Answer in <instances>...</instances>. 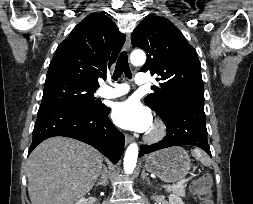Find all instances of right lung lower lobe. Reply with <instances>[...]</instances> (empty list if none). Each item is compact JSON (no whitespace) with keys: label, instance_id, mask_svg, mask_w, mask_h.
I'll use <instances>...</instances> for the list:
<instances>
[{"label":"right lung lower lobe","instance_id":"obj_1","mask_svg":"<svg viewBox=\"0 0 253 204\" xmlns=\"http://www.w3.org/2000/svg\"><path fill=\"white\" fill-rule=\"evenodd\" d=\"M109 111L103 104L96 111L63 106L39 108L28 154L47 138L65 136L93 146L117 163L124 151V135L109 120Z\"/></svg>","mask_w":253,"mask_h":204}]
</instances>
